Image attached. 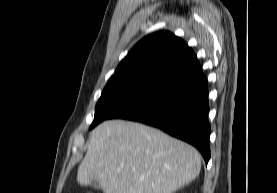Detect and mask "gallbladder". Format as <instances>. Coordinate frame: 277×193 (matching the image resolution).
Instances as JSON below:
<instances>
[{"label": "gallbladder", "mask_w": 277, "mask_h": 193, "mask_svg": "<svg viewBox=\"0 0 277 193\" xmlns=\"http://www.w3.org/2000/svg\"><path fill=\"white\" fill-rule=\"evenodd\" d=\"M90 186L93 187V188H96V189L100 188V185H99L97 180H91L90 181Z\"/></svg>", "instance_id": "gallbladder-1"}]
</instances>
